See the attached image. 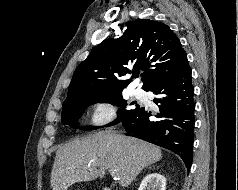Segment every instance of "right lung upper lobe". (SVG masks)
<instances>
[{"label": "right lung upper lobe", "mask_w": 238, "mask_h": 190, "mask_svg": "<svg viewBox=\"0 0 238 190\" xmlns=\"http://www.w3.org/2000/svg\"><path fill=\"white\" fill-rule=\"evenodd\" d=\"M186 61L180 40L166 24L150 19L131 21L121 37L102 41L80 63L66 100L81 94L122 93L130 83L122 78L140 71L142 89L147 91L178 72Z\"/></svg>", "instance_id": "cb5924a9"}]
</instances>
